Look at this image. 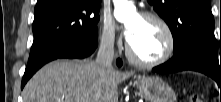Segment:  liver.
Here are the masks:
<instances>
[{"label":"liver","mask_w":221,"mask_h":102,"mask_svg":"<svg viewBox=\"0 0 221 102\" xmlns=\"http://www.w3.org/2000/svg\"><path fill=\"white\" fill-rule=\"evenodd\" d=\"M133 75L93 62L56 60L27 82L23 102H118V84Z\"/></svg>","instance_id":"obj_1"}]
</instances>
